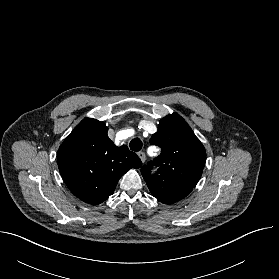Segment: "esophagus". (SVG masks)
Segmentation results:
<instances>
[{
  "label": "esophagus",
  "mask_w": 279,
  "mask_h": 279,
  "mask_svg": "<svg viewBox=\"0 0 279 279\" xmlns=\"http://www.w3.org/2000/svg\"><path fill=\"white\" fill-rule=\"evenodd\" d=\"M138 156L141 159L142 163L146 161V155L144 152H138Z\"/></svg>",
  "instance_id": "obj_1"
}]
</instances>
